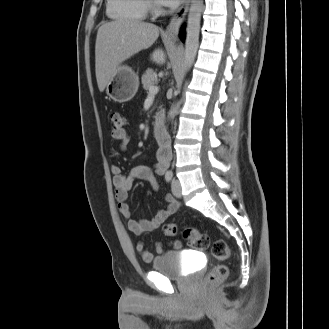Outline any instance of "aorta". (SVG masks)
<instances>
[{
	"label": "aorta",
	"mask_w": 329,
	"mask_h": 329,
	"mask_svg": "<svg viewBox=\"0 0 329 329\" xmlns=\"http://www.w3.org/2000/svg\"><path fill=\"white\" fill-rule=\"evenodd\" d=\"M203 0H191L186 28L184 66L189 70L194 62L199 46V32ZM178 111V104H175L168 113L169 118H174Z\"/></svg>",
	"instance_id": "aorta-1"
}]
</instances>
